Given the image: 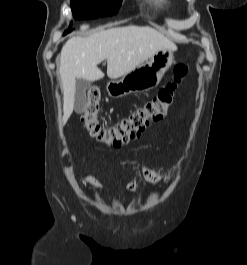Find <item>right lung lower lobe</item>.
Masks as SVG:
<instances>
[{"label": "right lung lower lobe", "instance_id": "obj_1", "mask_svg": "<svg viewBox=\"0 0 247 265\" xmlns=\"http://www.w3.org/2000/svg\"><path fill=\"white\" fill-rule=\"evenodd\" d=\"M71 30H72V29H68V30H66L64 34L69 33Z\"/></svg>", "mask_w": 247, "mask_h": 265}]
</instances>
